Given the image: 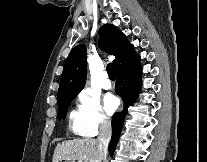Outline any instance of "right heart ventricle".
I'll list each match as a JSON object with an SVG mask.
<instances>
[{"label":"right heart ventricle","instance_id":"e07e8e85","mask_svg":"<svg viewBox=\"0 0 207 162\" xmlns=\"http://www.w3.org/2000/svg\"><path fill=\"white\" fill-rule=\"evenodd\" d=\"M69 128L72 132L76 134L80 133V121H79V113L76 110H72L69 114Z\"/></svg>","mask_w":207,"mask_h":162}]
</instances>
